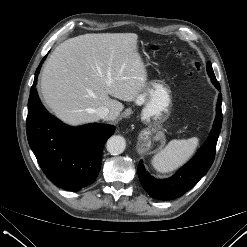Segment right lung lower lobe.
I'll return each mask as SVG.
<instances>
[{"mask_svg": "<svg viewBox=\"0 0 247 247\" xmlns=\"http://www.w3.org/2000/svg\"><path fill=\"white\" fill-rule=\"evenodd\" d=\"M41 64L28 101V142L49 180L65 190L79 191L96 180L103 146L115 127L107 124L70 127L50 115L35 89Z\"/></svg>", "mask_w": 247, "mask_h": 247, "instance_id": "98d812e1", "label": "right lung lower lobe"}]
</instances>
